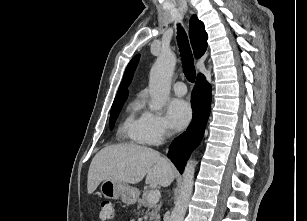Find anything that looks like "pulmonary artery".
<instances>
[{
	"mask_svg": "<svg viewBox=\"0 0 307 221\" xmlns=\"http://www.w3.org/2000/svg\"><path fill=\"white\" fill-rule=\"evenodd\" d=\"M173 90L178 96H183L187 92L186 85L180 81L173 84Z\"/></svg>",
	"mask_w": 307,
	"mask_h": 221,
	"instance_id": "1",
	"label": "pulmonary artery"
}]
</instances>
